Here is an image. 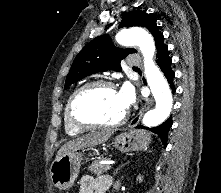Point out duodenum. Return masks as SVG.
<instances>
[{
    "label": "duodenum",
    "mask_w": 221,
    "mask_h": 193,
    "mask_svg": "<svg viewBox=\"0 0 221 193\" xmlns=\"http://www.w3.org/2000/svg\"><path fill=\"white\" fill-rule=\"evenodd\" d=\"M99 193H104V192H102V191H99Z\"/></svg>",
    "instance_id": "duodenum-1"
}]
</instances>
